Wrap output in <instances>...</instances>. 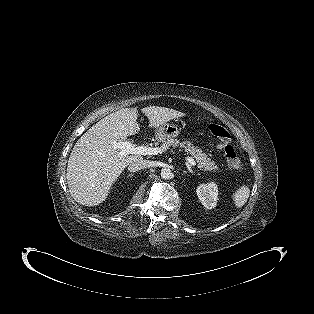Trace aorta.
Instances as JSON below:
<instances>
[{
  "label": "aorta",
  "instance_id": "762f6f07",
  "mask_svg": "<svg viewBox=\"0 0 314 314\" xmlns=\"http://www.w3.org/2000/svg\"><path fill=\"white\" fill-rule=\"evenodd\" d=\"M160 175L163 179H171L173 174L169 168H162Z\"/></svg>",
  "mask_w": 314,
  "mask_h": 314
}]
</instances>
